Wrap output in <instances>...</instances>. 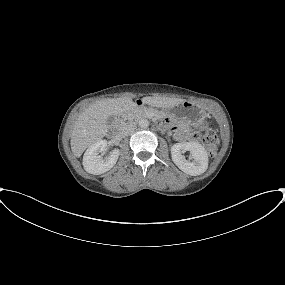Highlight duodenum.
<instances>
[{"label": "duodenum", "instance_id": "obj_1", "mask_svg": "<svg viewBox=\"0 0 285 285\" xmlns=\"http://www.w3.org/2000/svg\"><path fill=\"white\" fill-rule=\"evenodd\" d=\"M143 106H144L143 101L140 99H137L134 102V108L133 109L122 111V112L118 113L116 115V118H115V123L112 127V132L114 134H119L121 131H123L125 128V119H126L127 113L129 112V113L134 114V115H140V113L143 109Z\"/></svg>", "mask_w": 285, "mask_h": 285}]
</instances>
